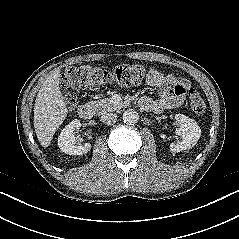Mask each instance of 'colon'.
Returning a JSON list of instances; mask_svg holds the SVG:
<instances>
[{"label":"colon","mask_w":239,"mask_h":239,"mask_svg":"<svg viewBox=\"0 0 239 239\" xmlns=\"http://www.w3.org/2000/svg\"><path fill=\"white\" fill-rule=\"evenodd\" d=\"M146 69L140 64H121L112 69L82 65L66 69L61 77V86L65 92V98L71 108L75 106L74 90L92 88L99 89L109 84H117L123 87L139 85L144 79ZM188 104L191 110L201 114L206 109L203 95L191 89L188 92Z\"/></svg>","instance_id":"5ec220e1"}]
</instances>
